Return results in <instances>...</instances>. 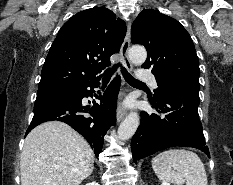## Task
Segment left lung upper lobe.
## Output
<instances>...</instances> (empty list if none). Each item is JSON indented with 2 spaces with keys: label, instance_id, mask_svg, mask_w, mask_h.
<instances>
[{
  "label": "left lung upper lobe",
  "instance_id": "left-lung-upper-lobe-1",
  "mask_svg": "<svg viewBox=\"0 0 233 185\" xmlns=\"http://www.w3.org/2000/svg\"><path fill=\"white\" fill-rule=\"evenodd\" d=\"M131 42L146 47L148 54L142 68L151 69L155 75L156 101L175 86H200L199 60L193 41L177 20L158 10H143L132 24Z\"/></svg>",
  "mask_w": 233,
  "mask_h": 185
}]
</instances>
